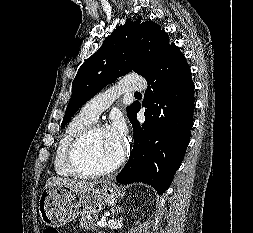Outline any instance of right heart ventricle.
Returning a JSON list of instances; mask_svg holds the SVG:
<instances>
[{
  "label": "right heart ventricle",
  "instance_id": "1",
  "mask_svg": "<svg viewBox=\"0 0 253 233\" xmlns=\"http://www.w3.org/2000/svg\"><path fill=\"white\" fill-rule=\"evenodd\" d=\"M93 122V119L79 113L67 124L59 137L54 153L53 166L57 175L63 177L75 176L67 166V153L72 141Z\"/></svg>",
  "mask_w": 253,
  "mask_h": 233
}]
</instances>
